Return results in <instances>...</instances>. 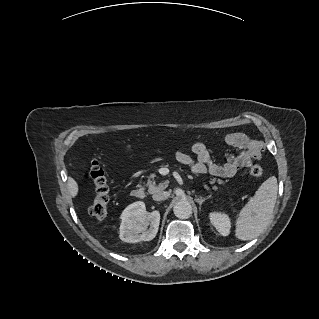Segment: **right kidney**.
<instances>
[{
  "label": "right kidney",
  "instance_id": "ca27d5eb",
  "mask_svg": "<svg viewBox=\"0 0 319 319\" xmlns=\"http://www.w3.org/2000/svg\"><path fill=\"white\" fill-rule=\"evenodd\" d=\"M159 223V211L148 213L144 202H135L126 207L121 214L119 237L129 243L150 241L156 236Z\"/></svg>",
  "mask_w": 319,
  "mask_h": 319
}]
</instances>
